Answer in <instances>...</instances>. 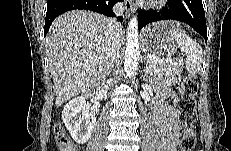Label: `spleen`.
Segmentation results:
<instances>
[{
	"mask_svg": "<svg viewBox=\"0 0 231 151\" xmlns=\"http://www.w3.org/2000/svg\"><path fill=\"white\" fill-rule=\"evenodd\" d=\"M177 44L186 56L185 66L190 75H196L203 61L202 47L190 38L185 32L177 35Z\"/></svg>",
	"mask_w": 231,
	"mask_h": 151,
	"instance_id": "obj_1",
	"label": "spleen"
}]
</instances>
